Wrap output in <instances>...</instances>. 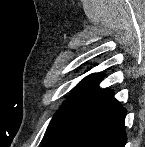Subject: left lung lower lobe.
Segmentation results:
<instances>
[{"mask_svg": "<svg viewBox=\"0 0 145 147\" xmlns=\"http://www.w3.org/2000/svg\"><path fill=\"white\" fill-rule=\"evenodd\" d=\"M98 74L71 122L60 138L44 147H124L126 143L125 110L112 97V91L100 89Z\"/></svg>", "mask_w": 145, "mask_h": 147, "instance_id": "1", "label": "left lung lower lobe"}]
</instances>
